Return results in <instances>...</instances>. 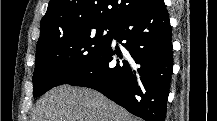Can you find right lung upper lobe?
<instances>
[{
    "instance_id": "1",
    "label": "right lung upper lobe",
    "mask_w": 217,
    "mask_h": 121,
    "mask_svg": "<svg viewBox=\"0 0 217 121\" xmlns=\"http://www.w3.org/2000/svg\"><path fill=\"white\" fill-rule=\"evenodd\" d=\"M148 0H50L37 47L94 24H118ZM36 47V48H37Z\"/></svg>"
}]
</instances>
